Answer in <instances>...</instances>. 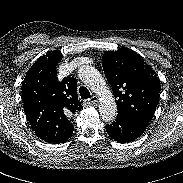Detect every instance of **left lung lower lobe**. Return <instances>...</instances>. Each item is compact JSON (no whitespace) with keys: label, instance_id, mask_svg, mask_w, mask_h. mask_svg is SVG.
<instances>
[{"label":"left lung lower lobe","instance_id":"obj_1","mask_svg":"<svg viewBox=\"0 0 183 183\" xmlns=\"http://www.w3.org/2000/svg\"><path fill=\"white\" fill-rule=\"evenodd\" d=\"M148 124L128 118L117 117L112 124L106 125V131L115 141L128 143L140 137Z\"/></svg>","mask_w":183,"mask_h":183}]
</instances>
